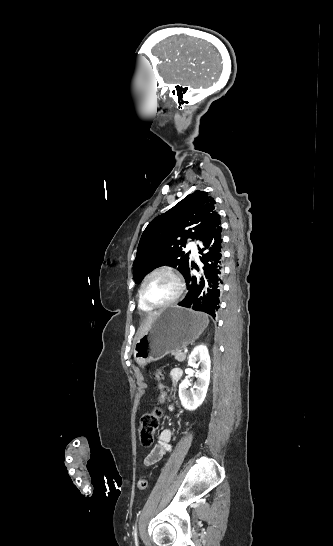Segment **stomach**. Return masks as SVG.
Listing matches in <instances>:
<instances>
[{
  "label": "stomach",
  "instance_id": "1",
  "mask_svg": "<svg viewBox=\"0 0 333 546\" xmlns=\"http://www.w3.org/2000/svg\"><path fill=\"white\" fill-rule=\"evenodd\" d=\"M208 322L207 315L189 309L173 306L162 310L133 346L136 363L145 366L187 347L202 334Z\"/></svg>",
  "mask_w": 333,
  "mask_h": 546
}]
</instances>
